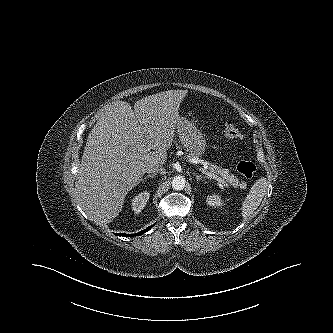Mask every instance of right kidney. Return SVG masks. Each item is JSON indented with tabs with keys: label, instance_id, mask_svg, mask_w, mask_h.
<instances>
[{
	"label": "right kidney",
	"instance_id": "obj_1",
	"mask_svg": "<svg viewBox=\"0 0 333 333\" xmlns=\"http://www.w3.org/2000/svg\"><path fill=\"white\" fill-rule=\"evenodd\" d=\"M149 197L150 193L144 191L133 198L132 209L136 214H139L144 209Z\"/></svg>",
	"mask_w": 333,
	"mask_h": 333
}]
</instances>
